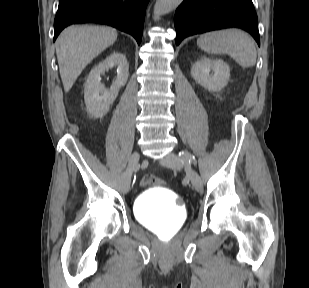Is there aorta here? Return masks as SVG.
Masks as SVG:
<instances>
[{"label":"aorta","mask_w":309,"mask_h":288,"mask_svg":"<svg viewBox=\"0 0 309 288\" xmlns=\"http://www.w3.org/2000/svg\"><path fill=\"white\" fill-rule=\"evenodd\" d=\"M183 0H156L154 6V20L159 19L161 15L168 14L175 10Z\"/></svg>","instance_id":"762f6f07"}]
</instances>
